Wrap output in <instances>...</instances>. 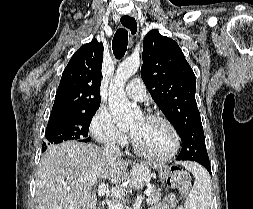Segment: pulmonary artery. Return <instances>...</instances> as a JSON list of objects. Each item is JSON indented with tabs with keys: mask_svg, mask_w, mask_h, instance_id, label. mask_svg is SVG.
Wrapping results in <instances>:
<instances>
[{
	"mask_svg": "<svg viewBox=\"0 0 253 209\" xmlns=\"http://www.w3.org/2000/svg\"><path fill=\"white\" fill-rule=\"evenodd\" d=\"M125 92L131 99L142 101L146 97V88L141 79H132L126 86Z\"/></svg>",
	"mask_w": 253,
	"mask_h": 209,
	"instance_id": "e3ab8cb5",
	"label": "pulmonary artery"
}]
</instances>
